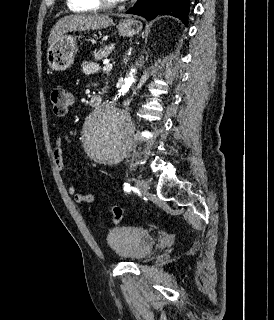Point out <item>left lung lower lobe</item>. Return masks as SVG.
I'll use <instances>...</instances> for the list:
<instances>
[{
	"label": "left lung lower lobe",
	"mask_w": 274,
	"mask_h": 320,
	"mask_svg": "<svg viewBox=\"0 0 274 320\" xmlns=\"http://www.w3.org/2000/svg\"><path fill=\"white\" fill-rule=\"evenodd\" d=\"M190 0H137L126 13L140 15L152 20L157 14H167L188 22Z\"/></svg>",
	"instance_id": "left-lung-lower-lobe-1"
}]
</instances>
